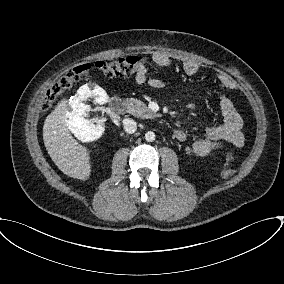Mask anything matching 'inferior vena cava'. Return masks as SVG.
<instances>
[{"instance_id": "602c4592", "label": "inferior vena cava", "mask_w": 284, "mask_h": 284, "mask_svg": "<svg viewBox=\"0 0 284 284\" xmlns=\"http://www.w3.org/2000/svg\"><path fill=\"white\" fill-rule=\"evenodd\" d=\"M123 126L127 133L132 134L137 130V123L130 118H125L123 120Z\"/></svg>"}]
</instances>
